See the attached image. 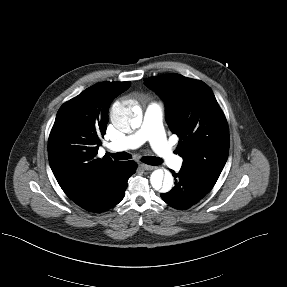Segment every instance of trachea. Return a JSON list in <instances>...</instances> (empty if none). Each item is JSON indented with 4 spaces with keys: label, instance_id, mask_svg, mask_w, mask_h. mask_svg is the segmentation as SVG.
<instances>
[{
    "label": "trachea",
    "instance_id": "1",
    "mask_svg": "<svg viewBox=\"0 0 287 287\" xmlns=\"http://www.w3.org/2000/svg\"><path fill=\"white\" fill-rule=\"evenodd\" d=\"M115 160H127L131 158V155L126 152H118L115 154H110ZM144 163L148 165H160L162 160L155 156H146L141 159Z\"/></svg>",
    "mask_w": 287,
    "mask_h": 287
}]
</instances>
